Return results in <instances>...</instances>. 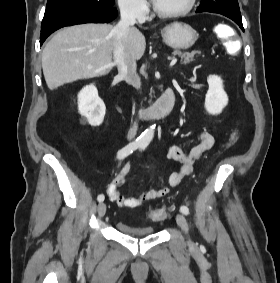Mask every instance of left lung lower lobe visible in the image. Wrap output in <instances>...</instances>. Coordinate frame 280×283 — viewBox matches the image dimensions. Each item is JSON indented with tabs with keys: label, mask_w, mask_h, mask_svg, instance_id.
Wrapping results in <instances>:
<instances>
[{
	"label": "left lung lower lobe",
	"mask_w": 280,
	"mask_h": 283,
	"mask_svg": "<svg viewBox=\"0 0 280 283\" xmlns=\"http://www.w3.org/2000/svg\"><path fill=\"white\" fill-rule=\"evenodd\" d=\"M228 18L232 19L235 23H237L239 27L244 31L241 18L238 17H228Z\"/></svg>",
	"instance_id": "obj_1"
}]
</instances>
